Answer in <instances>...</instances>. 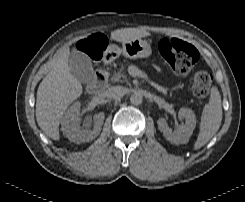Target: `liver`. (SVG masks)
Masks as SVG:
<instances>
[{"label": "liver", "mask_w": 245, "mask_h": 202, "mask_svg": "<svg viewBox=\"0 0 245 202\" xmlns=\"http://www.w3.org/2000/svg\"><path fill=\"white\" fill-rule=\"evenodd\" d=\"M149 35V32L138 28H124L113 31L111 39L123 43ZM83 38H75L73 42ZM69 54V48H66L37 90L36 121L42 131L53 140L60 139L59 124L67 107L83 93L81 82L70 72Z\"/></svg>", "instance_id": "liver-1"}]
</instances>
